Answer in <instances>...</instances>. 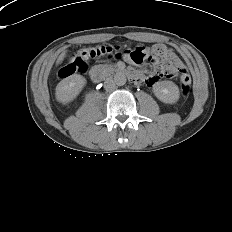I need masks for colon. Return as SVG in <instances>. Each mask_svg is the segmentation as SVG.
<instances>
[{"label":"colon","instance_id":"obj_1","mask_svg":"<svg viewBox=\"0 0 232 232\" xmlns=\"http://www.w3.org/2000/svg\"><path fill=\"white\" fill-rule=\"evenodd\" d=\"M125 58L132 60L136 64H141L147 60L152 63H161L160 76L177 77L180 83L183 96H188L191 88V78L184 68H179L175 64V60L169 55L163 45H156L152 51L141 47L133 50L122 51L119 47L101 46L97 48H83L78 50L73 58L63 65L58 71L59 78H66L76 72L84 73L89 64L103 57Z\"/></svg>","mask_w":232,"mask_h":232}]
</instances>
